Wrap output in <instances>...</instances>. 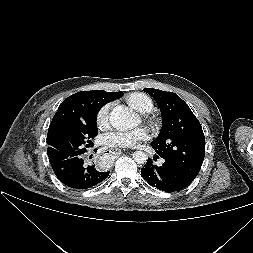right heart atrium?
I'll use <instances>...</instances> for the list:
<instances>
[{
    "mask_svg": "<svg viewBox=\"0 0 253 253\" xmlns=\"http://www.w3.org/2000/svg\"><path fill=\"white\" fill-rule=\"evenodd\" d=\"M110 108L111 104H106L98 111L96 121L100 127H103L108 123Z\"/></svg>",
    "mask_w": 253,
    "mask_h": 253,
    "instance_id": "right-heart-atrium-1",
    "label": "right heart atrium"
}]
</instances>
